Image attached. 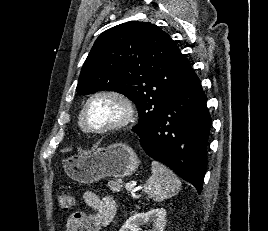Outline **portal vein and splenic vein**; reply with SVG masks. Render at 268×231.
<instances>
[{
  "label": "portal vein and splenic vein",
  "instance_id": "portal-vein-and-splenic-vein-1",
  "mask_svg": "<svg viewBox=\"0 0 268 231\" xmlns=\"http://www.w3.org/2000/svg\"><path fill=\"white\" fill-rule=\"evenodd\" d=\"M126 189H127L128 191H132V190H133V185L130 184V183H127V184H126Z\"/></svg>",
  "mask_w": 268,
  "mask_h": 231
}]
</instances>
